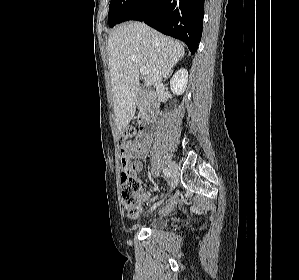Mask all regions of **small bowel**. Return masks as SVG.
<instances>
[{
  "label": "small bowel",
  "instance_id": "small-bowel-1",
  "mask_svg": "<svg viewBox=\"0 0 299 280\" xmlns=\"http://www.w3.org/2000/svg\"><path fill=\"white\" fill-rule=\"evenodd\" d=\"M152 140L151 137L145 134H142L139 136V138L127 144L126 146L121 147V153L122 155H125L127 160L133 159V158H144L148 150L151 146ZM142 169V166L140 163L133 164V170L135 173H139ZM140 199L141 201H146L148 199V195L145 191H141L140 193ZM178 199H173L165 208L161 210L162 214L168 213L177 203Z\"/></svg>",
  "mask_w": 299,
  "mask_h": 280
}]
</instances>
